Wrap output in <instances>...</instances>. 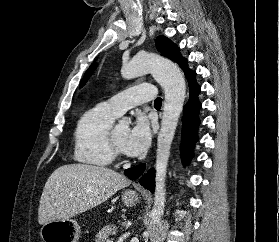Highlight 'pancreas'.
I'll return each instance as SVG.
<instances>
[{
    "label": "pancreas",
    "instance_id": "obj_1",
    "mask_svg": "<svg viewBox=\"0 0 279 242\" xmlns=\"http://www.w3.org/2000/svg\"><path fill=\"white\" fill-rule=\"evenodd\" d=\"M118 228L114 224L104 226L95 237V242H106L110 236L117 232Z\"/></svg>",
    "mask_w": 279,
    "mask_h": 242
}]
</instances>
